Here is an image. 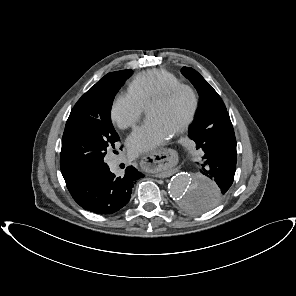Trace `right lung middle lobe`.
Wrapping results in <instances>:
<instances>
[{"label":"right lung middle lobe","instance_id":"1","mask_svg":"<svg viewBox=\"0 0 296 296\" xmlns=\"http://www.w3.org/2000/svg\"><path fill=\"white\" fill-rule=\"evenodd\" d=\"M132 70L111 72L75 104L66 122L60 167L65 180L104 163L119 136L110 119L113 99Z\"/></svg>","mask_w":296,"mask_h":296}]
</instances>
